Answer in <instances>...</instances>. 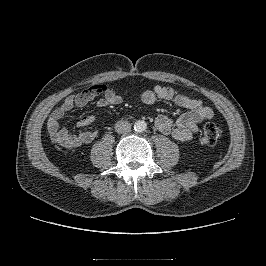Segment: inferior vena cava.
I'll return each mask as SVG.
<instances>
[{
    "mask_svg": "<svg viewBox=\"0 0 266 266\" xmlns=\"http://www.w3.org/2000/svg\"><path fill=\"white\" fill-rule=\"evenodd\" d=\"M130 129L131 124L128 121L121 120L115 124V131L119 134L127 133L130 131Z\"/></svg>",
    "mask_w": 266,
    "mask_h": 266,
    "instance_id": "602c4592",
    "label": "inferior vena cava"
}]
</instances>
